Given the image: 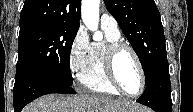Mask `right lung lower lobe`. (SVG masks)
<instances>
[{"instance_id": "1", "label": "right lung lower lobe", "mask_w": 193, "mask_h": 112, "mask_svg": "<svg viewBox=\"0 0 193 112\" xmlns=\"http://www.w3.org/2000/svg\"><path fill=\"white\" fill-rule=\"evenodd\" d=\"M14 112L21 110L34 99L51 93L76 94L75 89L50 76L30 75L18 82L13 88Z\"/></svg>"}]
</instances>
